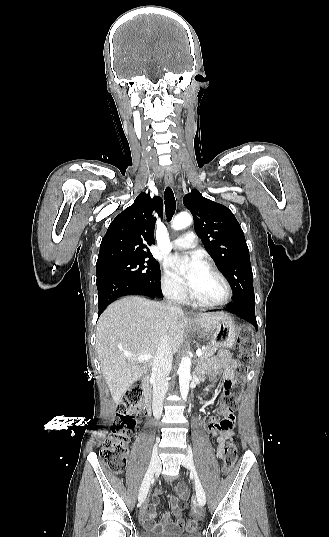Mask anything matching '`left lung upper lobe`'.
I'll list each match as a JSON object with an SVG mask.
<instances>
[{
	"label": "left lung upper lobe",
	"instance_id": "left-lung-upper-lobe-1",
	"mask_svg": "<svg viewBox=\"0 0 329 537\" xmlns=\"http://www.w3.org/2000/svg\"><path fill=\"white\" fill-rule=\"evenodd\" d=\"M183 203L194 217L195 231L205 249L229 279L233 303L255 302L249 250L234 214L196 189L184 196Z\"/></svg>",
	"mask_w": 329,
	"mask_h": 537
}]
</instances>
